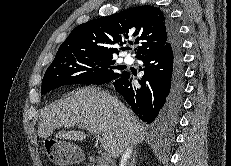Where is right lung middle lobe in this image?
<instances>
[{
	"mask_svg": "<svg viewBox=\"0 0 231 166\" xmlns=\"http://www.w3.org/2000/svg\"><path fill=\"white\" fill-rule=\"evenodd\" d=\"M114 57L85 54L54 59L45 72L41 94L63 85L102 84L119 77Z\"/></svg>",
	"mask_w": 231,
	"mask_h": 166,
	"instance_id": "right-lung-middle-lobe-1",
	"label": "right lung middle lobe"
}]
</instances>
